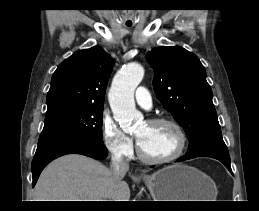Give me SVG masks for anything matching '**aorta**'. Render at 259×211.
I'll return each mask as SVG.
<instances>
[{
    "label": "aorta",
    "instance_id": "aorta-1",
    "mask_svg": "<svg viewBox=\"0 0 259 211\" xmlns=\"http://www.w3.org/2000/svg\"><path fill=\"white\" fill-rule=\"evenodd\" d=\"M144 77V68L130 63L118 71L109 91V103L114 118L124 131H131L142 115L135 108L134 91Z\"/></svg>",
    "mask_w": 259,
    "mask_h": 211
}]
</instances>
